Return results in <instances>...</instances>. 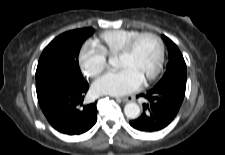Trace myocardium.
<instances>
[{
	"label": "myocardium",
	"mask_w": 225,
	"mask_h": 155,
	"mask_svg": "<svg viewBox=\"0 0 225 155\" xmlns=\"http://www.w3.org/2000/svg\"><path fill=\"white\" fill-rule=\"evenodd\" d=\"M144 37H151L153 38L157 45H158V58L157 62L155 65L154 70L150 75H148L144 80L143 83H149L150 81L154 80L160 73L163 61H164V43L162 39L155 33L153 32H140L139 34L135 35L132 37L125 45L124 47L120 50V52L117 54L118 56H127L130 55L138 41Z\"/></svg>",
	"instance_id": "myocardium-1"
}]
</instances>
